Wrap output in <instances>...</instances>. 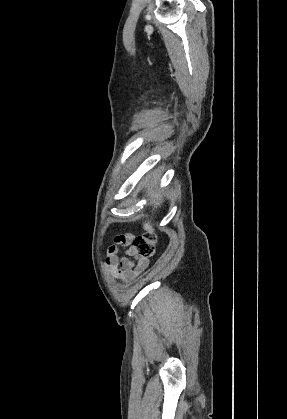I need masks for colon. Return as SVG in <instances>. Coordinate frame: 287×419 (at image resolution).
Wrapping results in <instances>:
<instances>
[{
    "label": "colon",
    "mask_w": 287,
    "mask_h": 419,
    "mask_svg": "<svg viewBox=\"0 0 287 419\" xmlns=\"http://www.w3.org/2000/svg\"><path fill=\"white\" fill-rule=\"evenodd\" d=\"M131 247L142 258L152 257L156 251L155 238L151 235L136 236L131 241Z\"/></svg>",
    "instance_id": "5ec220e1"
}]
</instances>
